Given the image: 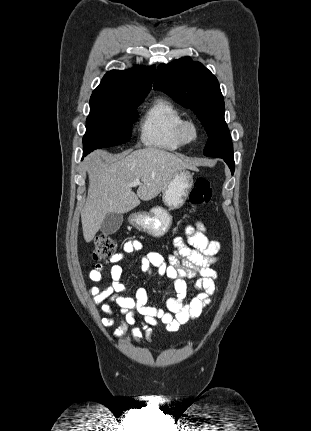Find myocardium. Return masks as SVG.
Masks as SVG:
<instances>
[{
    "label": "myocardium",
    "instance_id": "obj_1",
    "mask_svg": "<svg viewBox=\"0 0 311 431\" xmlns=\"http://www.w3.org/2000/svg\"><path fill=\"white\" fill-rule=\"evenodd\" d=\"M194 124L197 130V134L194 138H189L186 132V128L188 124ZM202 125L200 123V121L195 118V117H185L183 118L178 126V135L180 140L185 144V145H189V144H193L196 143L199 138L202 135Z\"/></svg>",
    "mask_w": 311,
    "mask_h": 431
}]
</instances>
